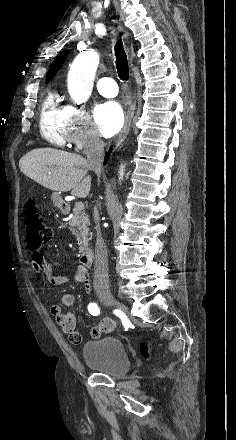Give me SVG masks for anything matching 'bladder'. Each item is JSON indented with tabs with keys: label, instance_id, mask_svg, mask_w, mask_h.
Listing matches in <instances>:
<instances>
[{
	"label": "bladder",
	"instance_id": "1",
	"mask_svg": "<svg viewBox=\"0 0 236 440\" xmlns=\"http://www.w3.org/2000/svg\"><path fill=\"white\" fill-rule=\"evenodd\" d=\"M82 356L87 366L108 375L124 374L130 367L126 348L116 337H103L85 343Z\"/></svg>",
	"mask_w": 236,
	"mask_h": 440
}]
</instances>
